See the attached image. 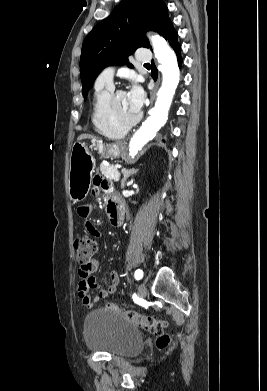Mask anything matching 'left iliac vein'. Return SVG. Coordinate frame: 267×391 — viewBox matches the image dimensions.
<instances>
[{"instance_id":"1","label":"left iliac vein","mask_w":267,"mask_h":391,"mask_svg":"<svg viewBox=\"0 0 267 391\" xmlns=\"http://www.w3.org/2000/svg\"><path fill=\"white\" fill-rule=\"evenodd\" d=\"M146 293H147L146 285L144 283L140 284V286H139V295L141 297H144L146 295Z\"/></svg>"}]
</instances>
